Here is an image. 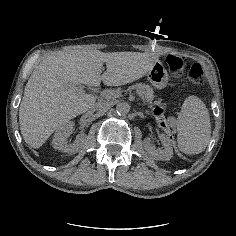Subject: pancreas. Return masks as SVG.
Masks as SVG:
<instances>
[{"mask_svg": "<svg viewBox=\"0 0 236 236\" xmlns=\"http://www.w3.org/2000/svg\"><path fill=\"white\" fill-rule=\"evenodd\" d=\"M138 92L141 95H145L146 102L149 107L160 104L161 99H156L154 95L153 88L150 85L138 84ZM121 90H105L104 93L100 94L101 100H112L120 96Z\"/></svg>", "mask_w": 236, "mask_h": 236, "instance_id": "obj_1", "label": "pancreas"}]
</instances>
